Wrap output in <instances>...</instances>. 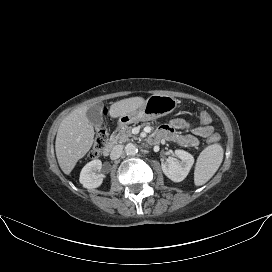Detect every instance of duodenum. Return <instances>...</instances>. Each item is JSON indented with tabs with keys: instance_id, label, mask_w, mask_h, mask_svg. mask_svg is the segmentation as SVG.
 Wrapping results in <instances>:
<instances>
[{
	"instance_id": "duodenum-1",
	"label": "duodenum",
	"mask_w": 272,
	"mask_h": 272,
	"mask_svg": "<svg viewBox=\"0 0 272 272\" xmlns=\"http://www.w3.org/2000/svg\"><path fill=\"white\" fill-rule=\"evenodd\" d=\"M114 146V139L110 140L109 143L105 146L104 150H103V154L105 156H108L112 150Z\"/></svg>"
}]
</instances>
